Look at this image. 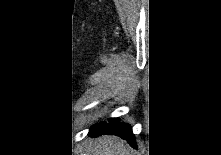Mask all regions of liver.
Segmentation results:
<instances>
[{
    "instance_id": "6515ba94",
    "label": "liver",
    "mask_w": 221,
    "mask_h": 155,
    "mask_svg": "<svg viewBox=\"0 0 221 155\" xmlns=\"http://www.w3.org/2000/svg\"><path fill=\"white\" fill-rule=\"evenodd\" d=\"M87 155H133L125 142L116 136H101L86 145Z\"/></svg>"
}]
</instances>
